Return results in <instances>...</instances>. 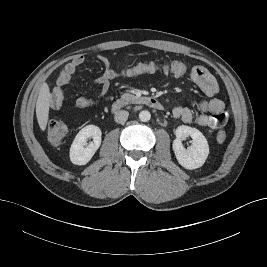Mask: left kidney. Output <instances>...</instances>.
Wrapping results in <instances>:
<instances>
[{"label": "left kidney", "instance_id": "1", "mask_svg": "<svg viewBox=\"0 0 267 267\" xmlns=\"http://www.w3.org/2000/svg\"><path fill=\"white\" fill-rule=\"evenodd\" d=\"M173 150L179 164L189 170L201 167L209 154V145L205 136L196 128L181 125L176 129ZM190 136L192 144L184 148L182 140Z\"/></svg>", "mask_w": 267, "mask_h": 267}]
</instances>
